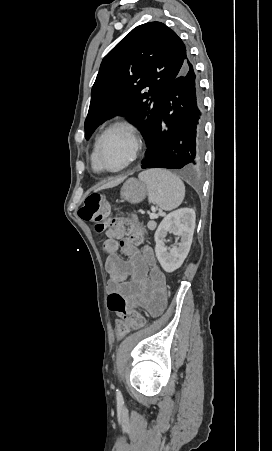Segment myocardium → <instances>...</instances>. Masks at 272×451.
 I'll list each match as a JSON object with an SVG mask.
<instances>
[{
  "instance_id": "1",
  "label": "myocardium",
  "mask_w": 272,
  "mask_h": 451,
  "mask_svg": "<svg viewBox=\"0 0 272 451\" xmlns=\"http://www.w3.org/2000/svg\"><path fill=\"white\" fill-rule=\"evenodd\" d=\"M112 132H120L121 134H123V136L125 137V139L128 143V147H129V157H128L127 162L125 163V165L123 167H121L120 169L115 170V171L107 170V169L103 168L102 166H100L98 163V157L100 154L101 147H102L106 137ZM137 151H138V139H137L135 130L128 124H124V123L112 124L111 126L106 128V130L100 135V137L97 140V143L95 146V151H94L95 170L98 172H105V171H110L113 173L122 172L125 169H127L132 164V162L135 160Z\"/></svg>"
}]
</instances>
